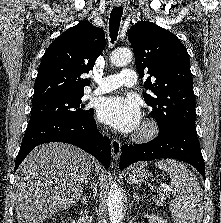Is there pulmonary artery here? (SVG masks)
Returning a JSON list of instances; mask_svg holds the SVG:
<instances>
[{
  "instance_id": "obj_1",
  "label": "pulmonary artery",
  "mask_w": 221,
  "mask_h": 223,
  "mask_svg": "<svg viewBox=\"0 0 221 223\" xmlns=\"http://www.w3.org/2000/svg\"><path fill=\"white\" fill-rule=\"evenodd\" d=\"M98 87L95 94H103L114 89L124 86H134L137 82V75L134 69L126 68L117 74L108 75L98 78Z\"/></svg>"
}]
</instances>
